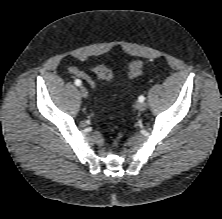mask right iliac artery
Returning <instances> with one entry per match:
<instances>
[{
    "label": "right iliac artery",
    "mask_w": 222,
    "mask_h": 219,
    "mask_svg": "<svg viewBox=\"0 0 222 219\" xmlns=\"http://www.w3.org/2000/svg\"><path fill=\"white\" fill-rule=\"evenodd\" d=\"M74 83L76 86H80L82 84L81 80L79 79H76Z\"/></svg>",
    "instance_id": "1"
}]
</instances>
